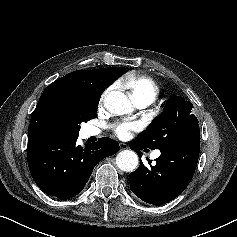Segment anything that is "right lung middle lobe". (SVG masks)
Listing matches in <instances>:
<instances>
[{
  "mask_svg": "<svg viewBox=\"0 0 237 237\" xmlns=\"http://www.w3.org/2000/svg\"><path fill=\"white\" fill-rule=\"evenodd\" d=\"M94 74L97 77L99 85L103 89H106L117 79L110 68L95 69ZM98 103L99 100L82 101L72 103L67 107L69 121V127L67 130L68 136L78 135L80 123L96 117Z\"/></svg>",
  "mask_w": 237,
  "mask_h": 237,
  "instance_id": "dd1d6c3e",
  "label": "right lung middle lobe"
}]
</instances>
